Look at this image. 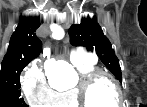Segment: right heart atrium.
Here are the masks:
<instances>
[{
  "instance_id": "obj_1",
  "label": "right heart atrium",
  "mask_w": 147,
  "mask_h": 107,
  "mask_svg": "<svg viewBox=\"0 0 147 107\" xmlns=\"http://www.w3.org/2000/svg\"><path fill=\"white\" fill-rule=\"evenodd\" d=\"M22 91L27 103L35 107L53 105L56 93L47 82L43 67L39 62H33L26 70L21 80Z\"/></svg>"
}]
</instances>
